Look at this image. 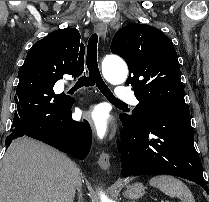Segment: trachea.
<instances>
[{"mask_svg":"<svg viewBox=\"0 0 209 202\" xmlns=\"http://www.w3.org/2000/svg\"><path fill=\"white\" fill-rule=\"evenodd\" d=\"M97 34H92L88 41L86 65L89 71V75L86 77H80L77 82L78 87H91L96 85L100 92L110 101L115 104H125L118 100L110 91L108 86L102 79L97 63Z\"/></svg>","mask_w":209,"mask_h":202,"instance_id":"obj_1","label":"trachea"}]
</instances>
